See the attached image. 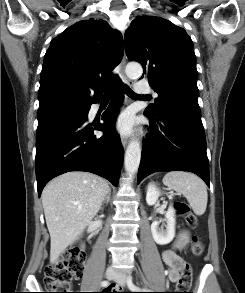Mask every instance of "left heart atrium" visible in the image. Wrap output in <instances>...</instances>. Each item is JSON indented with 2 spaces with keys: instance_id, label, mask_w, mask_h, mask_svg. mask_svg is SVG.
I'll list each match as a JSON object with an SVG mask.
<instances>
[{
  "instance_id": "39dd6f15",
  "label": "left heart atrium",
  "mask_w": 245,
  "mask_h": 293,
  "mask_svg": "<svg viewBox=\"0 0 245 293\" xmlns=\"http://www.w3.org/2000/svg\"><path fill=\"white\" fill-rule=\"evenodd\" d=\"M117 130L120 133L126 134L131 132L133 127V118L130 114H123L117 122Z\"/></svg>"
}]
</instances>
